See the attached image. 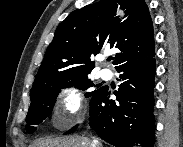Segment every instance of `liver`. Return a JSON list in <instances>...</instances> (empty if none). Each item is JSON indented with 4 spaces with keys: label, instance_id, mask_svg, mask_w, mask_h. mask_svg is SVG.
Masks as SVG:
<instances>
[{
    "label": "liver",
    "instance_id": "1",
    "mask_svg": "<svg viewBox=\"0 0 183 147\" xmlns=\"http://www.w3.org/2000/svg\"><path fill=\"white\" fill-rule=\"evenodd\" d=\"M86 137L70 136L65 138H47L36 141L31 147H91Z\"/></svg>",
    "mask_w": 183,
    "mask_h": 147
}]
</instances>
